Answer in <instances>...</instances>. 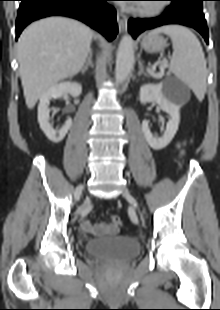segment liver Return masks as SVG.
<instances>
[{"mask_svg": "<svg viewBox=\"0 0 220 310\" xmlns=\"http://www.w3.org/2000/svg\"><path fill=\"white\" fill-rule=\"evenodd\" d=\"M93 31L65 17L34 22L21 34L18 62L26 105L32 109L43 93L60 80L76 75L90 51Z\"/></svg>", "mask_w": 220, "mask_h": 310, "instance_id": "1", "label": "liver"}]
</instances>
